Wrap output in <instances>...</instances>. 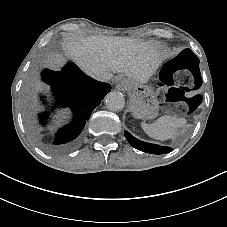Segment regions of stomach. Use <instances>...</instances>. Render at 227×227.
Returning a JSON list of instances; mask_svg holds the SVG:
<instances>
[{"label":"stomach","instance_id":"1","mask_svg":"<svg viewBox=\"0 0 227 227\" xmlns=\"http://www.w3.org/2000/svg\"><path fill=\"white\" fill-rule=\"evenodd\" d=\"M124 91L132 96V107L135 116L139 118H152L157 115L158 103L153 90L135 81L120 79Z\"/></svg>","mask_w":227,"mask_h":227}]
</instances>
